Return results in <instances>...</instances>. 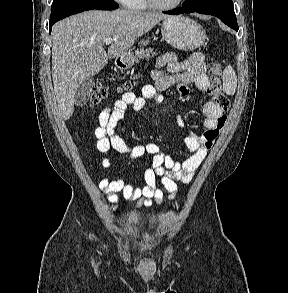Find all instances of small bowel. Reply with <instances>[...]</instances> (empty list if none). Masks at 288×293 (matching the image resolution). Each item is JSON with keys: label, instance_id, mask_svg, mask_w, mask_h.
Instances as JSON below:
<instances>
[{"label": "small bowel", "instance_id": "1", "mask_svg": "<svg viewBox=\"0 0 288 293\" xmlns=\"http://www.w3.org/2000/svg\"><path fill=\"white\" fill-rule=\"evenodd\" d=\"M163 68H167L170 74H165ZM151 77L155 82L154 85H145L140 96L133 92H125L114 103L112 109L107 108L101 111L98 116L99 126L94 131L96 148L101 153L114 150L132 159L139 158L144 154L153 156L151 167L144 173V186L134 187L124 183L123 180L109 178H104L99 183L100 190L107 195V200L111 204H119L118 193L120 192L126 200L136 201L131 209L141 206L149 207L153 200L157 203L162 201L163 191L156 186L157 179L169 192V198L173 199L176 196L179 183L188 184L193 180L208 151L213 147L226 124L224 111L214 100L207 101L202 110L205 130L201 134L189 133L185 137L184 142L190 155L183 162L163 153L161 147L156 143L130 146L116 133V126L125 117L128 108L139 112L145 107L147 100L162 103L161 93L171 86H176L181 96L189 94L188 84L190 83L195 84L203 92H206L210 86L204 57L198 52L191 54L184 60H180L172 52L160 56L151 72ZM174 120L178 127H183V121L178 113L174 114ZM109 164V159L105 157L103 166L108 167Z\"/></svg>", "mask_w": 288, "mask_h": 293}]
</instances>
